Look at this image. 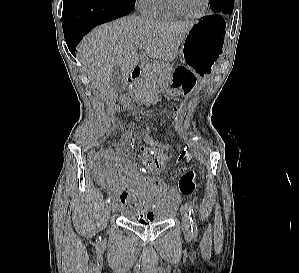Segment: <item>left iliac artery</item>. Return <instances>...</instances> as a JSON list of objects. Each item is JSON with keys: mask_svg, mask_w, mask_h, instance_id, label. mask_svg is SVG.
Listing matches in <instances>:
<instances>
[{"mask_svg": "<svg viewBox=\"0 0 299 273\" xmlns=\"http://www.w3.org/2000/svg\"><path fill=\"white\" fill-rule=\"evenodd\" d=\"M186 208L188 210L189 213V217H190V223H191V231L193 234L197 233V223H196V218H195V214H194V208L191 205V203H186Z\"/></svg>", "mask_w": 299, "mask_h": 273, "instance_id": "1", "label": "left iliac artery"}]
</instances>
